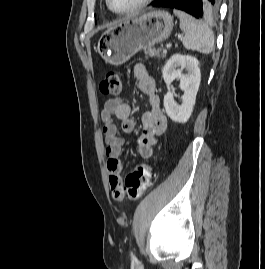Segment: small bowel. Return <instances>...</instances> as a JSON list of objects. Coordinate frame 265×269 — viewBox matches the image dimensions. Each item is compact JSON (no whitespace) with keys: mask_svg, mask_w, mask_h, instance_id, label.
Returning a JSON list of instances; mask_svg holds the SVG:
<instances>
[{"mask_svg":"<svg viewBox=\"0 0 265 269\" xmlns=\"http://www.w3.org/2000/svg\"><path fill=\"white\" fill-rule=\"evenodd\" d=\"M133 74L139 91L148 97L149 102V109L142 115L143 134L137 141L139 155L144 159H149L153 156L158 137L166 129L167 120L160 108L155 81L146 67L143 64H136ZM115 120L121 122V128L117 126ZM101 122L106 144L108 184L113 197L120 200L123 186L119 158L124 142L123 135L134 131L136 121L131 116V107L128 103L121 98H111L103 105Z\"/></svg>","mask_w":265,"mask_h":269,"instance_id":"c3829d8e","label":"small bowel"}]
</instances>
